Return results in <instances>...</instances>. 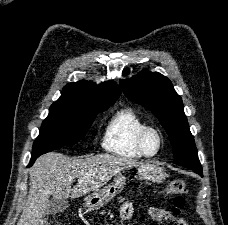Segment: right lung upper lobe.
Here are the masks:
<instances>
[{
    "label": "right lung upper lobe",
    "instance_id": "1",
    "mask_svg": "<svg viewBox=\"0 0 228 225\" xmlns=\"http://www.w3.org/2000/svg\"><path fill=\"white\" fill-rule=\"evenodd\" d=\"M121 91L113 81L96 85L90 81H78L67 84L56 102H73L89 105H113Z\"/></svg>",
    "mask_w": 228,
    "mask_h": 225
}]
</instances>
